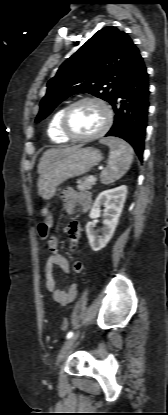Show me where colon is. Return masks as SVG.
<instances>
[{"mask_svg":"<svg viewBox=\"0 0 168 415\" xmlns=\"http://www.w3.org/2000/svg\"><path fill=\"white\" fill-rule=\"evenodd\" d=\"M43 213H44L45 218L39 224L38 230H39L40 236L45 239L49 235L52 220H51L50 215L47 213L45 209L43 210ZM68 327H69V323L67 319H63L61 322V330L65 332L68 330Z\"/></svg>","mask_w":168,"mask_h":415,"instance_id":"1","label":"colon"}]
</instances>
